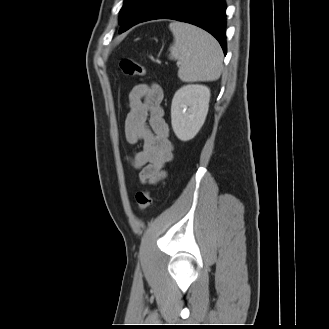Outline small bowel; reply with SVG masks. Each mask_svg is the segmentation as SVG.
Masks as SVG:
<instances>
[{
  "label": "small bowel",
  "instance_id": "1",
  "mask_svg": "<svg viewBox=\"0 0 329 329\" xmlns=\"http://www.w3.org/2000/svg\"><path fill=\"white\" fill-rule=\"evenodd\" d=\"M162 100L163 90L157 83L138 84L127 97L125 137L130 144L142 142V147L128 160L139 170L142 183L154 184L165 178L164 167L174 159Z\"/></svg>",
  "mask_w": 329,
  "mask_h": 329
}]
</instances>
